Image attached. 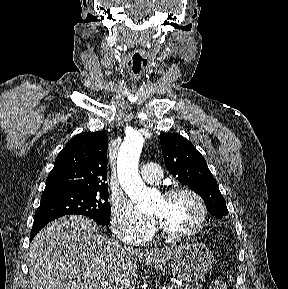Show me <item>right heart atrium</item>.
<instances>
[{
    "instance_id": "right-heart-atrium-1",
    "label": "right heart atrium",
    "mask_w": 288,
    "mask_h": 289,
    "mask_svg": "<svg viewBox=\"0 0 288 289\" xmlns=\"http://www.w3.org/2000/svg\"><path fill=\"white\" fill-rule=\"evenodd\" d=\"M111 225L114 235L127 244H143L153 233V221L143 216L133 204L123 197L111 203Z\"/></svg>"
}]
</instances>
